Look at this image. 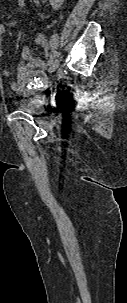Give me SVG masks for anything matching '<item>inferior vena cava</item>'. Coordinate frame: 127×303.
Here are the masks:
<instances>
[{
  "label": "inferior vena cava",
  "mask_w": 127,
  "mask_h": 303,
  "mask_svg": "<svg viewBox=\"0 0 127 303\" xmlns=\"http://www.w3.org/2000/svg\"><path fill=\"white\" fill-rule=\"evenodd\" d=\"M64 0H50V4L53 9L57 10L63 4Z\"/></svg>",
  "instance_id": "inferior-vena-cava-1"
}]
</instances>
